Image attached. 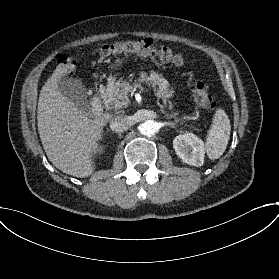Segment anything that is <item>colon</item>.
Listing matches in <instances>:
<instances>
[{
    "instance_id": "colon-1",
    "label": "colon",
    "mask_w": 279,
    "mask_h": 279,
    "mask_svg": "<svg viewBox=\"0 0 279 279\" xmlns=\"http://www.w3.org/2000/svg\"><path fill=\"white\" fill-rule=\"evenodd\" d=\"M119 55H137L145 57H155L162 62H167L176 66L187 64V60L177 51L168 46L158 45L152 40L142 39L135 41H122L103 46L101 56L103 58ZM59 63L67 73L75 68V62L66 57H59ZM194 99L203 109H212L214 106L208 86L203 81H197L193 87Z\"/></svg>"
}]
</instances>
